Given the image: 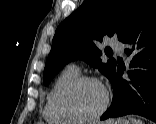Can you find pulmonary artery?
I'll return each mask as SVG.
<instances>
[{
    "mask_svg": "<svg viewBox=\"0 0 156 124\" xmlns=\"http://www.w3.org/2000/svg\"><path fill=\"white\" fill-rule=\"evenodd\" d=\"M108 43L119 55H122L123 45L118 41V39L110 38ZM68 66L73 69L79 70V66L76 62L70 63Z\"/></svg>",
    "mask_w": 156,
    "mask_h": 124,
    "instance_id": "pulmonary-artery-1",
    "label": "pulmonary artery"
}]
</instances>
